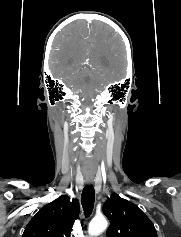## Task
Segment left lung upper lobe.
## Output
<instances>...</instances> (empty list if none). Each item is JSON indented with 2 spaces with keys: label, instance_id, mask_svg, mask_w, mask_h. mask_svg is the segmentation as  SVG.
<instances>
[{
  "label": "left lung upper lobe",
  "instance_id": "left-lung-upper-lobe-1",
  "mask_svg": "<svg viewBox=\"0 0 181 237\" xmlns=\"http://www.w3.org/2000/svg\"><path fill=\"white\" fill-rule=\"evenodd\" d=\"M103 212L110 220L107 237H158L146 214L116 193L107 199Z\"/></svg>",
  "mask_w": 181,
  "mask_h": 237
}]
</instances>
